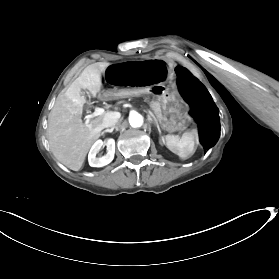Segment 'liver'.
Here are the masks:
<instances>
[{
  "label": "liver",
  "mask_w": 279,
  "mask_h": 279,
  "mask_svg": "<svg viewBox=\"0 0 279 279\" xmlns=\"http://www.w3.org/2000/svg\"><path fill=\"white\" fill-rule=\"evenodd\" d=\"M96 64L86 67L65 93L59 94L48 115L47 138L56 159L73 171H79L91 145L100 137L104 128V114L90 123L82 122L83 105L86 102L81 89L92 96L100 91L104 69Z\"/></svg>",
  "instance_id": "obj_1"
}]
</instances>
